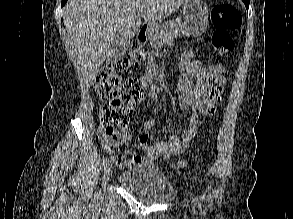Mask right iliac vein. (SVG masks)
<instances>
[{"label":"right iliac vein","instance_id":"63e3f726","mask_svg":"<svg viewBox=\"0 0 293 219\" xmlns=\"http://www.w3.org/2000/svg\"><path fill=\"white\" fill-rule=\"evenodd\" d=\"M111 168L108 167L104 170V174H103V182H102V188L105 189L106 188V185L110 179V176H111Z\"/></svg>","mask_w":293,"mask_h":219}]
</instances>
